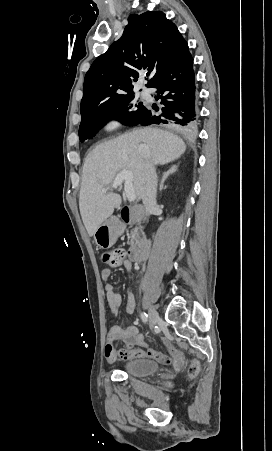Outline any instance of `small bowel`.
Here are the masks:
<instances>
[{
	"instance_id": "obj_1",
	"label": "small bowel",
	"mask_w": 272,
	"mask_h": 451,
	"mask_svg": "<svg viewBox=\"0 0 272 451\" xmlns=\"http://www.w3.org/2000/svg\"><path fill=\"white\" fill-rule=\"evenodd\" d=\"M112 276L111 269L105 267L101 271V278L105 282L106 299L109 310L113 315H117L122 303V297L118 290H114L109 282ZM126 312L132 313L135 309V297L128 291L126 295ZM120 341L123 347L115 349L114 342ZM162 344L166 352H174L175 356H182L181 352L168 339H162ZM159 350L148 348L145 343V336L136 327L112 325L107 333V343L105 346V357L112 363L120 358L122 360H132L136 358H152L157 360ZM161 363V361H158Z\"/></svg>"
}]
</instances>
